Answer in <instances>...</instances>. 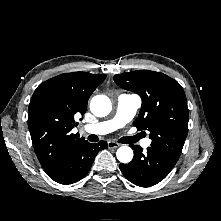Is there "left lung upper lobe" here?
Here are the masks:
<instances>
[{
  "instance_id": "left-lung-upper-lobe-1",
  "label": "left lung upper lobe",
  "mask_w": 221,
  "mask_h": 221,
  "mask_svg": "<svg viewBox=\"0 0 221 221\" xmlns=\"http://www.w3.org/2000/svg\"><path fill=\"white\" fill-rule=\"evenodd\" d=\"M114 81L141 97L142 106L134 126L149 131L151 146L180 156L188 134L189 110L179 83L150 70L118 74Z\"/></svg>"
}]
</instances>
